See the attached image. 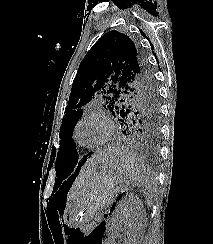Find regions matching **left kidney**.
I'll list each match as a JSON object with an SVG mask.
<instances>
[{
  "label": "left kidney",
  "instance_id": "obj_1",
  "mask_svg": "<svg viewBox=\"0 0 213 244\" xmlns=\"http://www.w3.org/2000/svg\"><path fill=\"white\" fill-rule=\"evenodd\" d=\"M135 201L126 199L115 210L111 219L109 238L106 244H116L115 240L120 236L119 230L123 227V244H137V232L139 230L138 216L135 212Z\"/></svg>",
  "mask_w": 213,
  "mask_h": 244
}]
</instances>
